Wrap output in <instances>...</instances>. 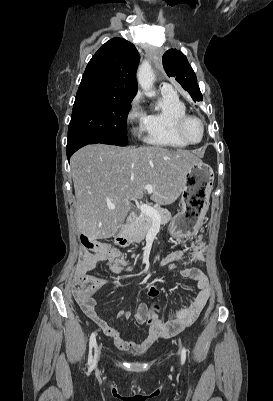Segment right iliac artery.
<instances>
[{
	"label": "right iliac artery",
	"instance_id": "1",
	"mask_svg": "<svg viewBox=\"0 0 273 401\" xmlns=\"http://www.w3.org/2000/svg\"><path fill=\"white\" fill-rule=\"evenodd\" d=\"M95 348L96 347V336H95V333H92L91 334V337H90V342H89V355H88V365L90 366L89 367V370L91 371L94 367H95V365H96V362H95V357H94V360H93V356H92V348Z\"/></svg>",
	"mask_w": 273,
	"mask_h": 401
}]
</instances>
